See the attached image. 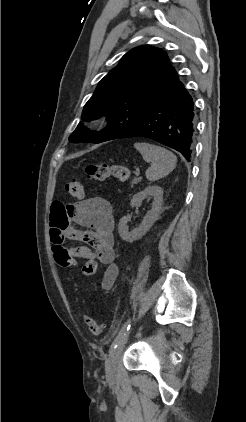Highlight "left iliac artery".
Segmentation results:
<instances>
[{
	"label": "left iliac artery",
	"mask_w": 246,
	"mask_h": 422,
	"mask_svg": "<svg viewBox=\"0 0 246 422\" xmlns=\"http://www.w3.org/2000/svg\"><path fill=\"white\" fill-rule=\"evenodd\" d=\"M130 323L131 320H127V322L123 325V327L121 328V330L119 331L118 335L116 336L115 340L113 341L111 348H110V353L117 347V345L120 343L122 337H124L126 335V332L130 329Z\"/></svg>",
	"instance_id": "1"
}]
</instances>
